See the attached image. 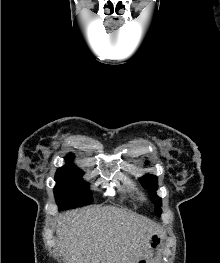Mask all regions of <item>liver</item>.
Segmentation results:
<instances>
[{"label": "liver", "instance_id": "1", "mask_svg": "<svg viewBox=\"0 0 220 263\" xmlns=\"http://www.w3.org/2000/svg\"><path fill=\"white\" fill-rule=\"evenodd\" d=\"M159 226L115 206H90L60 214L56 234L66 263H136Z\"/></svg>", "mask_w": 220, "mask_h": 263}]
</instances>
